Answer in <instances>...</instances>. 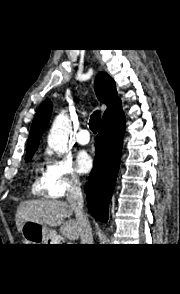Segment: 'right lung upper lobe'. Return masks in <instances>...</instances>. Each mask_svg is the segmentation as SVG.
Returning a JSON list of instances; mask_svg holds the SVG:
<instances>
[{
    "label": "right lung upper lobe",
    "mask_w": 180,
    "mask_h": 294,
    "mask_svg": "<svg viewBox=\"0 0 180 294\" xmlns=\"http://www.w3.org/2000/svg\"><path fill=\"white\" fill-rule=\"evenodd\" d=\"M95 92L98 99L101 102L107 103V113L120 103V99L117 97V91L114 80L105 72L99 73L95 78ZM52 103L49 99H46L39 107L31 130L29 134L27 144V157H32L36 151L40 138L46 129L51 117ZM104 113V114H105Z\"/></svg>",
    "instance_id": "right-lung-upper-lobe-1"
}]
</instances>
